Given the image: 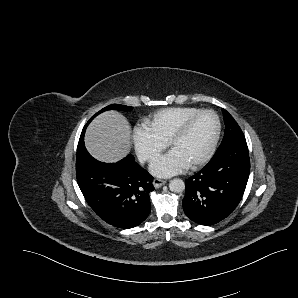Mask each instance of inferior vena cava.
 <instances>
[{"mask_svg": "<svg viewBox=\"0 0 298 298\" xmlns=\"http://www.w3.org/2000/svg\"><path fill=\"white\" fill-rule=\"evenodd\" d=\"M150 157V154L143 153L139 156V160L141 163H145Z\"/></svg>", "mask_w": 298, "mask_h": 298, "instance_id": "602c4592", "label": "inferior vena cava"}]
</instances>
